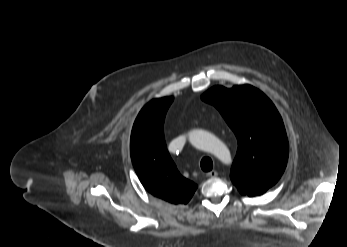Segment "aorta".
Here are the masks:
<instances>
[{"mask_svg":"<svg viewBox=\"0 0 347 247\" xmlns=\"http://www.w3.org/2000/svg\"><path fill=\"white\" fill-rule=\"evenodd\" d=\"M188 137L194 147L208 151L218 158L229 152L224 143L207 131L195 129L189 132Z\"/></svg>","mask_w":347,"mask_h":247,"instance_id":"obj_1","label":"aorta"}]
</instances>
